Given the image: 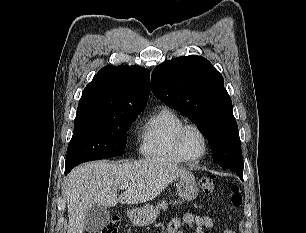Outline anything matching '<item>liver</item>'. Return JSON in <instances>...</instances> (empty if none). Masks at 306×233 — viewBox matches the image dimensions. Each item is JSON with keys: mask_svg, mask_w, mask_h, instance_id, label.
<instances>
[{"mask_svg": "<svg viewBox=\"0 0 306 233\" xmlns=\"http://www.w3.org/2000/svg\"><path fill=\"white\" fill-rule=\"evenodd\" d=\"M190 175L185 168L161 158H148L122 164L105 160L88 162L74 168L65 181L68 231L83 233L85 216L95 204L106 208L117 203L138 204L162 193L170 182ZM126 184L117 197V188Z\"/></svg>", "mask_w": 306, "mask_h": 233, "instance_id": "6515ba94", "label": "liver"}]
</instances>
